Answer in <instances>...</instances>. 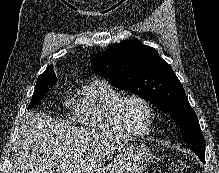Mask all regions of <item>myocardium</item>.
<instances>
[{"label":"myocardium","mask_w":219,"mask_h":173,"mask_svg":"<svg viewBox=\"0 0 219 173\" xmlns=\"http://www.w3.org/2000/svg\"><path fill=\"white\" fill-rule=\"evenodd\" d=\"M129 100L139 101L146 107L149 113V121H148L146 130L144 131L135 130L134 128H132L126 123L124 116H123V109H124L125 103ZM112 112H113L114 120L116 124L118 125V127L124 132H126L127 134L135 136V137H145L152 133L153 123L155 120V111H154L153 105L145 97L139 94H136V93H129V94L121 95L114 103Z\"/></svg>","instance_id":"myocardium-1"}]
</instances>
